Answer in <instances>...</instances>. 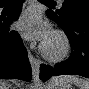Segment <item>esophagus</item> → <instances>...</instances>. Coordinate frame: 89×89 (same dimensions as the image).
I'll use <instances>...</instances> for the list:
<instances>
[{"instance_id": "esophagus-1", "label": "esophagus", "mask_w": 89, "mask_h": 89, "mask_svg": "<svg viewBox=\"0 0 89 89\" xmlns=\"http://www.w3.org/2000/svg\"><path fill=\"white\" fill-rule=\"evenodd\" d=\"M29 61L32 67L33 74H37L39 70V62L33 57V55L29 52Z\"/></svg>"}]
</instances>
